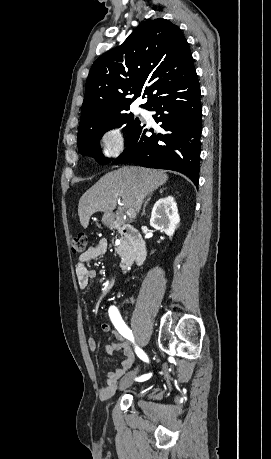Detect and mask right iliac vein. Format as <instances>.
<instances>
[{"mask_svg":"<svg viewBox=\"0 0 271 459\" xmlns=\"http://www.w3.org/2000/svg\"><path fill=\"white\" fill-rule=\"evenodd\" d=\"M138 374V368L126 374V376L120 381V389L124 390L130 387L133 383V378Z\"/></svg>","mask_w":271,"mask_h":459,"instance_id":"1","label":"right iliac vein"}]
</instances>
